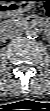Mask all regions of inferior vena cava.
I'll list each match as a JSON object with an SVG mask.
<instances>
[{"label": "inferior vena cava", "instance_id": "obj_1", "mask_svg": "<svg viewBox=\"0 0 50 111\" xmlns=\"http://www.w3.org/2000/svg\"><path fill=\"white\" fill-rule=\"evenodd\" d=\"M21 33L18 31H11L10 33H8L7 38H13L15 36L20 35Z\"/></svg>", "mask_w": 50, "mask_h": 111}]
</instances>
